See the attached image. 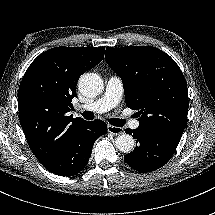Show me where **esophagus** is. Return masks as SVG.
Segmentation results:
<instances>
[{
  "mask_svg": "<svg viewBox=\"0 0 215 215\" xmlns=\"http://www.w3.org/2000/svg\"><path fill=\"white\" fill-rule=\"evenodd\" d=\"M107 130L109 133L113 134V135H122L124 134V129L118 126H112V125H108L107 126Z\"/></svg>",
  "mask_w": 215,
  "mask_h": 215,
  "instance_id": "1",
  "label": "esophagus"
}]
</instances>
